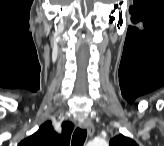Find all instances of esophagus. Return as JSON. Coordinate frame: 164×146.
Masks as SVG:
<instances>
[{"label": "esophagus", "mask_w": 164, "mask_h": 146, "mask_svg": "<svg viewBox=\"0 0 164 146\" xmlns=\"http://www.w3.org/2000/svg\"><path fill=\"white\" fill-rule=\"evenodd\" d=\"M80 127L83 129H86L89 136H92L94 134L95 128L90 121L85 120V121L80 122Z\"/></svg>", "instance_id": "1"}]
</instances>
